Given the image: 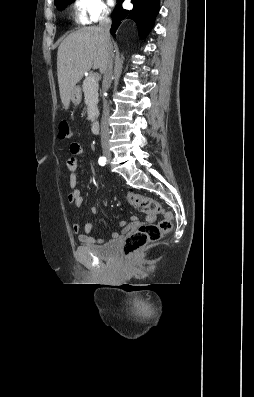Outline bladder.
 Returning <instances> with one entry per match:
<instances>
[{"instance_id":"31cf9c89","label":"bladder","mask_w":254,"mask_h":397,"mask_svg":"<svg viewBox=\"0 0 254 397\" xmlns=\"http://www.w3.org/2000/svg\"><path fill=\"white\" fill-rule=\"evenodd\" d=\"M87 248L97 257L104 260H113L119 254V242L109 241L103 245H90Z\"/></svg>"}]
</instances>
